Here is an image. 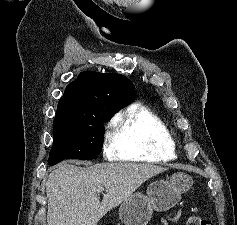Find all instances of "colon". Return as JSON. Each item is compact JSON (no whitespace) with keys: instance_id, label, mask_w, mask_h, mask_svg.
<instances>
[{"instance_id":"obj_1","label":"colon","mask_w":237,"mask_h":225,"mask_svg":"<svg viewBox=\"0 0 237 225\" xmlns=\"http://www.w3.org/2000/svg\"><path fill=\"white\" fill-rule=\"evenodd\" d=\"M113 225V224H107ZM187 225H213L211 220L201 218L198 216H190L187 220Z\"/></svg>"}]
</instances>
